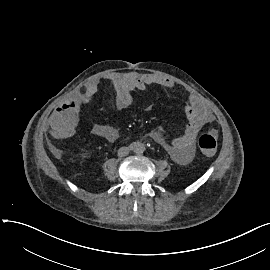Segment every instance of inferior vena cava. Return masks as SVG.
Returning a JSON list of instances; mask_svg holds the SVG:
<instances>
[{
    "mask_svg": "<svg viewBox=\"0 0 270 270\" xmlns=\"http://www.w3.org/2000/svg\"><path fill=\"white\" fill-rule=\"evenodd\" d=\"M130 152V148L129 147H121L118 149V156L119 157H124L126 155H128Z\"/></svg>",
    "mask_w": 270,
    "mask_h": 270,
    "instance_id": "obj_1",
    "label": "inferior vena cava"
}]
</instances>
